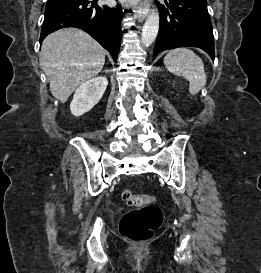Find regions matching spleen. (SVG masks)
<instances>
[{
  "instance_id": "1",
  "label": "spleen",
  "mask_w": 261,
  "mask_h": 273,
  "mask_svg": "<svg viewBox=\"0 0 261 273\" xmlns=\"http://www.w3.org/2000/svg\"><path fill=\"white\" fill-rule=\"evenodd\" d=\"M164 65L174 75L189 81V93L196 95L206 84V73L201 58L192 50L181 47L164 57Z\"/></svg>"
}]
</instances>
